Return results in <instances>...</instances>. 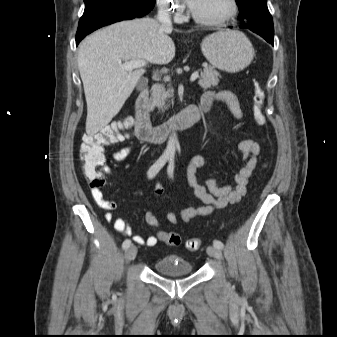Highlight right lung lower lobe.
Listing matches in <instances>:
<instances>
[{
    "label": "right lung lower lobe",
    "instance_id": "obj_1",
    "mask_svg": "<svg viewBox=\"0 0 337 337\" xmlns=\"http://www.w3.org/2000/svg\"><path fill=\"white\" fill-rule=\"evenodd\" d=\"M154 4L155 0H85V10L76 33V45L98 28L146 15Z\"/></svg>",
    "mask_w": 337,
    "mask_h": 337
}]
</instances>
